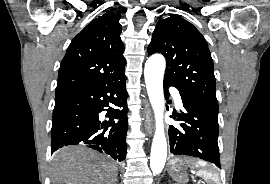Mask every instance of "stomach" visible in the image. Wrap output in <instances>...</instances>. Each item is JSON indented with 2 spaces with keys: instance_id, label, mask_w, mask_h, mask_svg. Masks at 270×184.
<instances>
[{
  "instance_id": "1",
  "label": "stomach",
  "mask_w": 270,
  "mask_h": 184,
  "mask_svg": "<svg viewBox=\"0 0 270 184\" xmlns=\"http://www.w3.org/2000/svg\"><path fill=\"white\" fill-rule=\"evenodd\" d=\"M169 174L179 181L187 179L186 166L181 159H173L169 163Z\"/></svg>"
}]
</instances>
